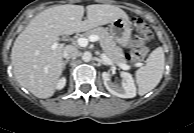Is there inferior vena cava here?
<instances>
[{
	"label": "inferior vena cava",
	"instance_id": "602c4592",
	"mask_svg": "<svg viewBox=\"0 0 194 133\" xmlns=\"http://www.w3.org/2000/svg\"><path fill=\"white\" fill-rule=\"evenodd\" d=\"M80 55L79 51L77 48H75L74 46L68 45L65 47L64 51H63V57L65 59H75Z\"/></svg>",
	"mask_w": 194,
	"mask_h": 133
}]
</instances>
